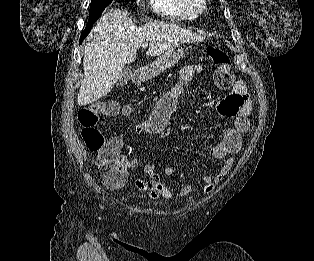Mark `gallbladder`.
<instances>
[{"label":"gallbladder","instance_id":"bac80fb5","mask_svg":"<svg viewBox=\"0 0 314 261\" xmlns=\"http://www.w3.org/2000/svg\"><path fill=\"white\" fill-rule=\"evenodd\" d=\"M132 78V71L129 68H124L116 82L117 86H125Z\"/></svg>","mask_w":314,"mask_h":261}]
</instances>
